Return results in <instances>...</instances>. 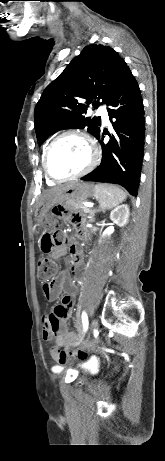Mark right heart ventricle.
<instances>
[{
    "mask_svg": "<svg viewBox=\"0 0 165 461\" xmlns=\"http://www.w3.org/2000/svg\"><path fill=\"white\" fill-rule=\"evenodd\" d=\"M48 182H49L50 184H52V183H53V181H52V180H50L49 178H48Z\"/></svg>",
    "mask_w": 165,
    "mask_h": 461,
    "instance_id": "right-heart-ventricle-1",
    "label": "right heart ventricle"
}]
</instances>
